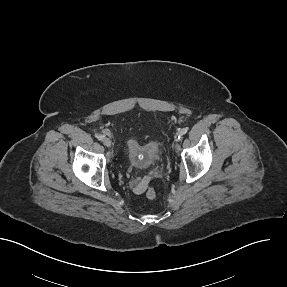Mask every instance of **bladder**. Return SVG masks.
Here are the masks:
<instances>
[{"instance_id": "1", "label": "bladder", "mask_w": 287, "mask_h": 287, "mask_svg": "<svg viewBox=\"0 0 287 287\" xmlns=\"http://www.w3.org/2000/svg\"><path fill=\"white\" fill-rule=\"evenodd\" d=\"M160 146L156 141L140 143L136 138H129L126 142V160L130 167L146 170L158 160Z\"/></svg>"}]
</instances>
